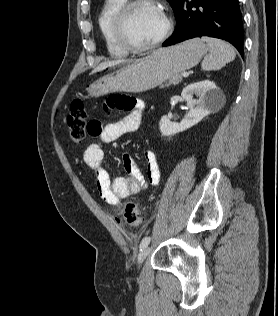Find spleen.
Wrapping results in <instances>:
<instances>
[{"instance_id": "1", "label": "spleen", "mask_w": 278, "mask_h": 316, "mask_svg": "<svg viewBox=\"0 0 278 316\" xmlns=\"http://www.w3.org/2000/svg\"><path fill=\"white\" fill-rule=\"evenodd\" d=\"M201 40L210 47V53L204 57L201 64L203 70H218L235 59V50L228 43L211 37H202Z\"/></svg>"}]
</instances>
